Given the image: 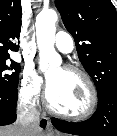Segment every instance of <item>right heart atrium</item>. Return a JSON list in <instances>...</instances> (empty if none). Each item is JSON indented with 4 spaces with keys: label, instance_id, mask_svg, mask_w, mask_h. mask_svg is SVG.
I'll list each match as a JSON object with an SVG mask.
<instances>
[{
    "label": "right heart atrium",
    "instance_id": "1",
    "mask_svg": "<svg viewBox=\"0 0 117 136\" xmlns=\"http://www.w3.org/2000/svg\"><path fill=\"white\" fill-rule=\"evenodd\" d=\"M43 93V79L32 68H25L19 82V97L27 105H36Z\"/></svg>",
    "mask_w": 117,
    "mask_h": 136
}]
</instances>
